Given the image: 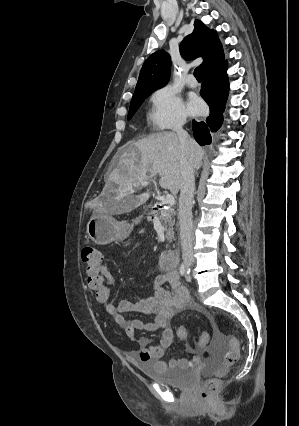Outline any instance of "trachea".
<instances>
[{"label": "trachea", "mask_w": 299, "mask_h": 426, "mask_svg": "<svg viewBox=\"0 0 299 426\" xmlns=\"http://www.w3.org/2000/svg\"><path fill=\"white\" fill-rule=\"evenodd\" d=\"M194 76L196 77L197 80H202V70L200 67H197L194 70Z\"/></svg>", "instance_id": "obj_1"}]
</instances>
